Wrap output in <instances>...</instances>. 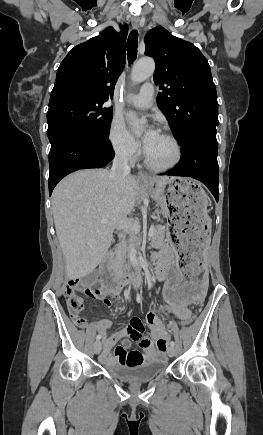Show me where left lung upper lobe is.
Listing matches in <instances>:
<instances>
[{
  "label": "left lung upper lobe",
  "mask_w": 263,
  "mask_h": 435,
  "mask_svg": "<svg viewBox=\"0 0 263 435\" xmlns=\"http://www.w3.org/2000/svg\"><path fill=\"white\" fill-rule=\"evenodd\" d=\"M145 54L154 58L157 103L182 144L189 135L216 131L218 102L208 61L200 50L158 26L145 36Z\"/></svg>",
  "instance_id": "obj_1"
}]
</instances>
